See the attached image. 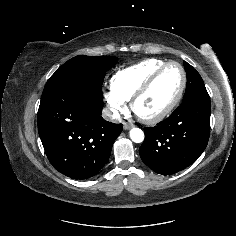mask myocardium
Instances as JSON below:
<instances>
[{
  "mask_svg": "<svg viewBox=\"0 0 236 236\" xmlns=\"http://www.w3.org/2000/svg\"><path fill=\"white\" fill-rule=\"evenodd\" d=\"M175 65L177 66L182 74V82L180 89L173 99V101L161 112L154 116H143L137 111V103L138 101L151 89V87L154 85V83L157 81V79L163 74V72L170 66ZM187 85V74L185 71V68L176 61H170L162 65L160 68H158L145 82L144 84L136 91V93L133 95L131 99V109L133 113L136 115L138 119H140L142 122L147 124H157L164 120L166 117H168L174 109L178 106L179 102L181 101L183 94L185 92Z\"/></svg>",
  "mask_w": 236,
  "mask_h": 236,
  "instance_id": "f54148a6",
  "label": "myocardium"
}]
</instances>
